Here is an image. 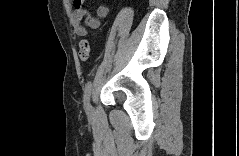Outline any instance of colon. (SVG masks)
<instances>
[{
  "mask_svg": "<svg viewBox=\"0 0 239 156\" xmlns=\"http://www.w3.org/2000/svg\"><path fill=\"white\" fill-rule=\"evenodd\" d=\"M89 56H90V41L89 39H83L81 40L79 46V58L83 62H86L88 61Z\"/></svg>",
  "mask_w": 239,
  "mask_h": 156,
  "instance_id": "obj_1",
  "label": "colon"
}]
</instances>
